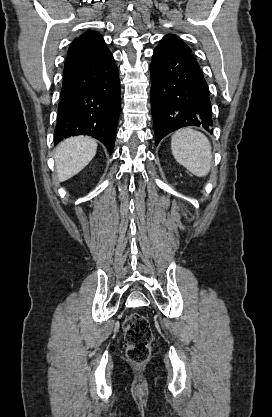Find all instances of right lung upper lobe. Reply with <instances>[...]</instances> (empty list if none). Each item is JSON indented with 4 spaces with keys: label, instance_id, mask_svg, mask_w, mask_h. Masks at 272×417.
Wrapping results in <instances>:
<instances>
[{
    "label": "right lung upper lobe",
    "instance_id": "cb5924a9",
    "mask_svg": "<svg viewBox=\"0 0 272 417\" xmlns=\"http://www.w3.org/2000/svg\"><path fill=\"white\" fill-rule=\"evenodd\" d=\"M103 42L104 40L99 33L88 31L71 43L67 58L84 56Z\"/></svg>",
    "mask_w": 272,
    "mask_h": 417
}]
</instances>
